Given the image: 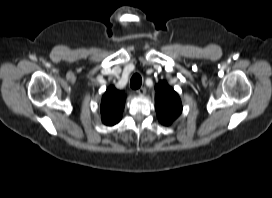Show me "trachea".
<instances>
[{"mask_svg": "<svg viewBox=\"0 0 272 198\" xmlns=\"http://www.w3.org/2000/svg\"><path fill=\"white\" fill-rule=\"evenodd\" d=\"M142 84V78L139 74H134L130 80V86L132 89L140 88Z\"/></svg>", "mask_w": 272, "mask_h": 198, "instance_id": "obj_1", "label": "trachea"}]
</instances>
